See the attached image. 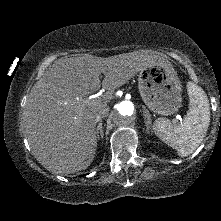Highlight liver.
I'll return each instance as SVG.
<instances>
[{
    "label": "liver",
    "mask_w": 221,
    "mask_h": 221,
    "mask_svg": "<svg viewBox=\"0 0 221 221\" xmlns=\"http://www.w3.org/2000/svg\"><path fill=\"white\" fill-rule=\"evenodd\" d=\"M154 65L172 67L161 55L139 51L57 60L34 84L25 105L24 129L35 158L56 173L87 169L97 148L96 115L116 88ZM101 73L107 92L97 104H83L85 97L99 90Z\"/></svg>",
    "instance_id": "1"
}]
</instances>
